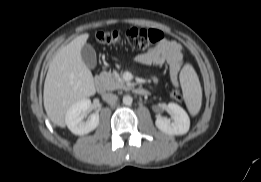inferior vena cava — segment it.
Here are the masks:
<instances>
[{
    "instance_id": "inferior-vena-cava-1",
    "label": "inferior vena cava",
    "mask_w": 261,
    "mask_h": 182,
    "mask_svg": "<svg viewBox=\"0 0 261 182\" xmlns=\"http://www.w3.org/2000/svg\"><path fill=\"white\" fill-rule=\"evenodd\" d=\"M102 97H103V100L106 101L108 104H115L116 101L118 100L117 95L112 94V93H106Z\"/></svg>"
}]
</instances>
